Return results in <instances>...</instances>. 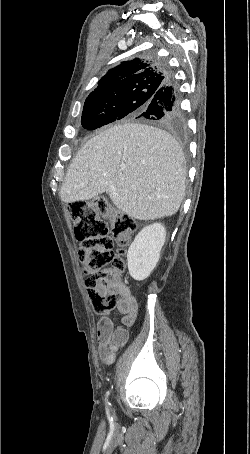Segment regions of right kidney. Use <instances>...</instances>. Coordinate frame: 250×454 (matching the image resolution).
Here are the masks:
<instances>
[{"mask_svg":"<svg viewBox=\"0 0 250 454\" xmlns=\"http://www.w3.org/2000/svg\"><path fill=\"white\" fill-rule=\"evenodd\" d=\"M166 230L161 223L144 227L130 245L127 253L128 270L137 281L146 279L159 261L165 243Z\"/></svg>","mask_w":250,"mask_h":454,"instance_id":"obj_1","label":"right kidney"}]
</instances>
